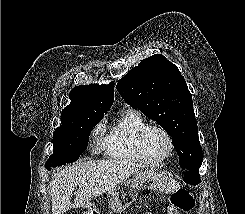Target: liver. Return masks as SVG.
Listing matches in <instances>:
<instances>
[{"label": "liver", "instance_id": "obj_1", "mask_svg": "<svg viewBox=\"0 0 245 214\" xmlns=\"http://www.w3.org/2000/svg\"><path fill=\"white\" fill-rule=\"evenodd\" d=\"M138 166L128 160L83 161L57 171L50 181L52 213L63 214L78 209L92 199L113 190L131 175ZM78 187L74 202L71 196Z\"/></svg>", "mask_w": 245, "mask_h": 214}]
</instances>
